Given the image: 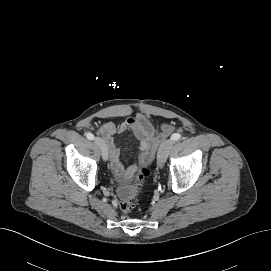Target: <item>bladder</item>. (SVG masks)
<instances>
[{"label":"bladder","instance_id":"obj_1","mask_svg":"<svg viewBox=\"0 0 271 271\" xmlns=\"http://www.w3.org/2000/svg\"><path fill=\"white\" fill-rule=\"evenodd\" d=\"M118 195L122 199H135L137 196V188L128 184L120 185Z\"/></svg>","mask_w":271,"mask_h":271}]
</instances>
